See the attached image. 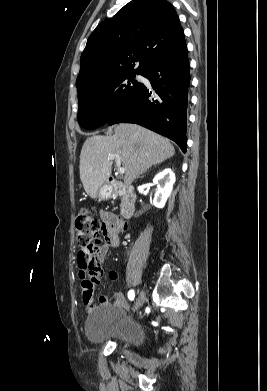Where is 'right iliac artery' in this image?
<instances>
[{
  "instance_id": "obj_1",
  "label": "right iliac artery",
  "mask_w": 267,
  "mask_h": 391,
  "mask_svg": "<svg viewBox=\"0 0 267 391\" xmlns=\"http://www.w3.org/2000/svg\"><path fill=\"white\" fill-rule=\"evenodd\" d=\"M128 298L132 301V300H134V291L133 290H130L129 292H128Z\"/></svg>"
}]
</instances>
